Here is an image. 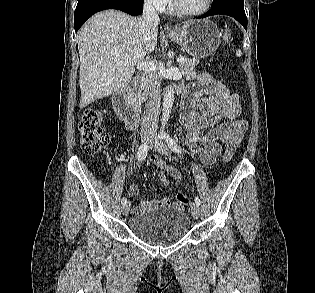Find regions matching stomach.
I'll return each mask as SVG.
<instances>
[{
    "label": "stomach",
    "instance_id": "1",
    "mask_svg": "<svg viewBox=\"0 0 315 293\" xmlns=\"http://www.w3.org/2000/svg\"><path fill=\"white\" fill-rule=\"evenodd\" d=\"M168 37L188 55L202 59L216 51L221 34L216 24L205 19L189 21L168 34Z\"/></svg>",
    "mask_w": 315,
    "mask_h": 293
}]
</instances>
